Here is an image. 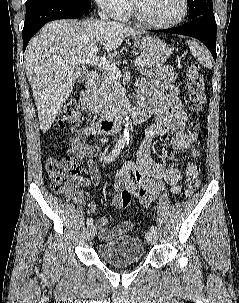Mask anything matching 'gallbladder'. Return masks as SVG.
I'll use <instances>...</instances> for the list:
<instances>
[{"label": "gallbladder", "instance_id": "gallbladder-1", "mask_svg": "<svg viewBox=\"0 0 239 303\" xmlns=\"http://www.w3.org/2000/svg\"><path fill=\"white\" fill-rule=\"evenodd\" d=\"M83 79H84V77H83V76H80V77L78 78V81H79V82H82Z\"/></svg>", "mask_w": 239, "mask_h": 303}]
</instances>
